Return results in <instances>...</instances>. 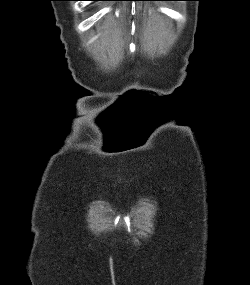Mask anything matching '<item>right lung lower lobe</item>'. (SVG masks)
<instances>
[{"instance_id": "obj_1", "label": "right lung lower lobe", "mask_w": 250, "mask_h": 285, "mask_svg": "<svg viewBox=\"0 0 250 285\" xmlns=\"http://www.w3.org/2000/svg\"><path fill=\"white\" fill-rule=\"evenodd\" d=\"M90 1H100V0H90Z\"/></svg>"}]
</instances>
